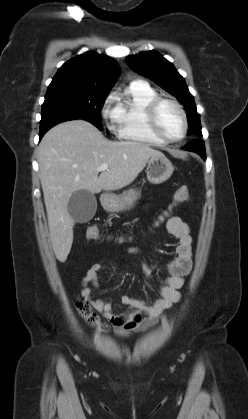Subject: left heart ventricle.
Segmentation results:
<instances>
[{
    "instance_id": "1",
    "label": "left heart ventricle",
    "mask_w": 248,
    "mask_h": 419,
    "mask_svg": "<svg viewBox=\"0 0 248 419\" xmlns=\"http://www.w3.org/2000/svg\"><path fill=\"white\" fill-rule=\"evenodd\" d=\"M157 124L160 132L170 139L178 138L183 131V122L177 109L169 103H162L157 110Z\"/></svg>"
}]
</instances>
